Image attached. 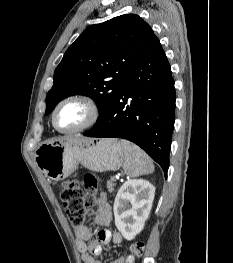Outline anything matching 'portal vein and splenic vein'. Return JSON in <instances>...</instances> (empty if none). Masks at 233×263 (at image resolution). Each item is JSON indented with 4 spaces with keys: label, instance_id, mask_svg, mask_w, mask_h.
<instances>
[{
    "label": "portal vein and splenic vein",
    "instance_id": "obj_1",
    "mask_svg": "<svg viewBox=\"0 0 233 263\" xmlns=\"http://www.w3.org/2000/svg\"><path fill=\"white\" fill-rule=\"evenodd\" d=\"M111 180L115 181V180H116V177H112Z\"/></svg>",
    "mask_w": 233,
    "mask_h": 263
}]
</instances>
